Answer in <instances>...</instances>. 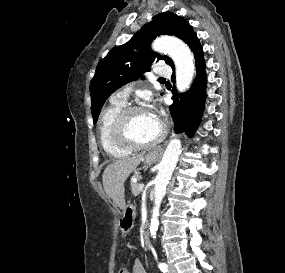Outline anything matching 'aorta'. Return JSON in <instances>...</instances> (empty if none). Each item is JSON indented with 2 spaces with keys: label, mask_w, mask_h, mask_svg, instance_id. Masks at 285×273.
<instances>
[{
  "label": "aorta",
  "mask_w": 285,
  "mask_h": 273,
  "mask_svg": "<svg viewBox=\"0 0 285 273\" xmlns=\"http://www.w3.org/2000/svg\"><path fill=\"white\" fill-rule=\"evenodd\" d=\"M152 49L159 53H167L172 58L176 67L177 90L179 92L186 91L192 82L195 72L194 58L189 47L182 40L175 37H161L153 42ZM180 152V140H171L159 164V170L155 178V199L149 228L154 239L156 238L159 225L160 205L166 194V187L176 167Z\"/></svg>",
  "instance_id": "aorta-1"
}]
</instances>
